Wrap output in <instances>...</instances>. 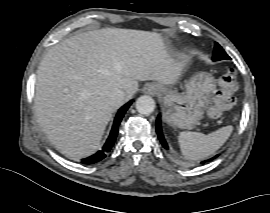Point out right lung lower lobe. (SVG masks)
<instances>
[{
  "label": "right lung lower lobe",
  "instance_id": "right-lung-lower-lobe-1",
  "mask_svg": "<svg viewBox=\"0 0 270 213\" xmlns=\"http://www.w3.org/2000/svg\"><path fill=\"white\" fill-rule=\"evenodd\" d=\"M131 104H132V101L128 102L118 111V113L115 117V120H114L112 130L110 132V135H109L106 143L104 144L102 150L98 151L96 154H94L90 157L83 159L82 163H84V164L96 163V162L102 160L106 156V153L111 150V148L116 140V136L118 134V126H119L125 112L127 111V109L129 108V106Z\"/></svg>",
  "mask_w": 270,
  "mask_h": 213
}]
</instances>
